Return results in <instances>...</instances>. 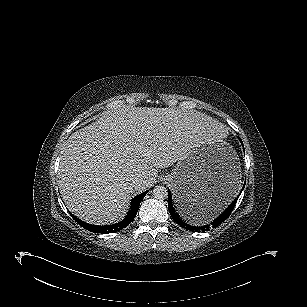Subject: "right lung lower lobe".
Returning a JSON list of instances; mask_svg holds the SVG:
<instances>
[{
  "mask_svg": "<svg viewBox=\"0 0 307 307\" xmlns=\"http://www.w3.org/2000/svg\"><path fill=\"white\" fill-rule=\"evenodd\" d=\"M148 191H145L139 195H137L133 201H132V206L130 208V211L128 212V215L125 217V219H123L121 222L113 224V225H104V226H98V225H92V224H88L83 222L82 220L78 219L77 217H75L74 215L71 214V216L73 217V219L79 224L81 225L83 228L94 232V233H100V234H106V233H113V232H117L122 230L123 228H125L126 226H128L132 220L135 218L140 203L142 201V199L144 198V196L147 194Z\"/></svg>",
  "mask_w": 307,
  "mask_h": 307,
  "instance_id": "right-lung-lower-lobe-1",
  "label": "right lung lower lobe"
}]
</instances>
